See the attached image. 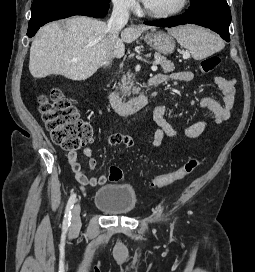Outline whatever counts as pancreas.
I'll list each match as a JSON object with an SVG mask.
<instances>
[{"instance_id": "1", "label": "pancreas", "mask_w": 255, "mask_h": 272, "mask_svg": "<svg viewBox=\"0 0 255 272\" xmlns=\"http://www.w3.org/2000/svg\"><path fill=\"white\" fill-rule=\"evenodd\" d=\"M154 58L161 65V68L164 73H170L174 71L175 69L174 64L170 60H168L166 57L162 56L159 53H155ZM134 85H135V80L132 74L128 72L126 75H123L121 79V83L119 84L122 95L130 96L131 92L133 94H137L140 88Z\"/></svg>"}]
</instances>
